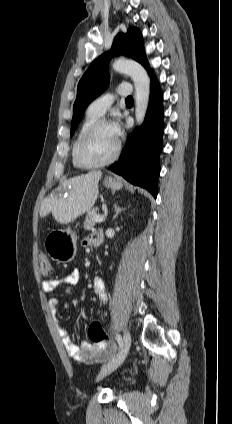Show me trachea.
<instances>
[{
    "instance_id": "trachea-1",
    "label": "trachea",
    "mask_w": 232,
    "mask_h": 424,
    "mask_svg": "<svg viewBox=\"0 0 232 424\" xmlns=\"http://www.w3.org/2000/svg\"><path fill=\"white\" fill-rule=\"evenodd\" d=\"M126 103H133V98L131 96L127 97Z\"/></svg>"
}]
</instances>
